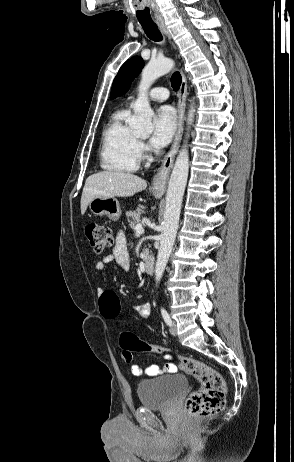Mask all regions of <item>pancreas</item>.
Instances as JSON below:
<instances>
[{"label": "pancreas", "mask_w": 294, "mask_h": 462, "mask_svg": "<svg viewBox=\"0 0 294 462\" xmlns=\"http://www.w3.org/2000/svg\"><path fill=\"white\" fill-rule=\"evenodd\" d=\"M140 214V211L135 212L130 210L126 212V217L129 222L130 228L135 229L136 225L140 224Z\"/></svg>", "instance_id": "pancreas-1"}]
</instances>
